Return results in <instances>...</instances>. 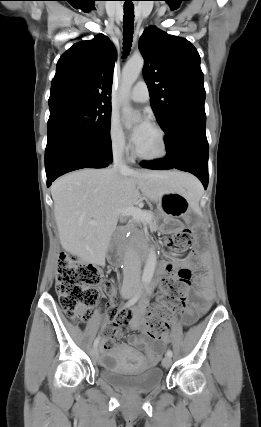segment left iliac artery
<instances>
[{
	"mask_svg": "<svg viewBox=\"0 0 261 427\" xmlns=\"http://www.w3.org/2000/svg\"><path fill=\"white\" fill-rule=\"evenodd\" d=\"M147 292L151 294V287L147 286ZM166 355L172 357L173 353L170 349L167 350Z\"/></svg>",
	"mask_w": 261,
	"mask_h": 427,
	"instance_id": "left-iliac-artery-1",
	"label": "left iliac artery"
}]
</instances>
